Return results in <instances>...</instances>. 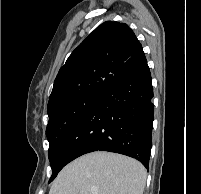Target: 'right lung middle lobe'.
<instances>
[{"label":"right lung middle lobe","mask_w":201,"mask_h":194,"mask_svg":"<svg viewBox=\"0 0 201 194\" xmlns=\"http://www.w3.org/2000/svg\"><path fill=\"white\" fill-rule=\"evenodd\" d=\"M101 95H88L63 102L48 111L49 122L46 128V136L49 141L48 156L51 162L52 176L49 183L54 180L59 170L53 158V153L60 145L64 135L71 126L88 111Z\"/></svg>","instance_id":"1"}]
</instances>
